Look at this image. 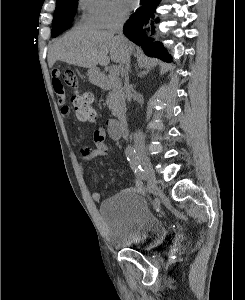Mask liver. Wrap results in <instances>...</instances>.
Masks as SVG:
<instances>
[{"label":"liver","mask_w":245,"mask_h":300,"mask_svg":"<svg viewBox=\"0 0 245 300\" xmlns=\"http://www.w3.org/2000/svg\"><path fill=\"white\" fill-rule=\"evenodd\" d=\"M133 50V45L126 40L123 43L112 31H97L79 28L66 33L51 46L48 65L51 68L56 61L84 68L104 66L110 59L124 64ZM110 53V57L108 54Z\"/></svg>","instance_id":"1"}]
</instances>
